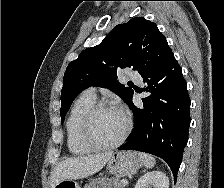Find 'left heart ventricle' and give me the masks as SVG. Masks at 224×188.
<instances>
[{"label": "left heart ventricle", "mask_w": 224, "mask_h": 188, "mask_svg": "<svg viewBox=\"0 0 224 188\" xmlns=\"http://www.w3.org/2000/svg\"><path fill=\"white\" fill-rule=\"evenodd\" d=\"M124 127L125 116L120 111L107 110L97 115L92 132L97 141L111 143L121 135Z\"/></svg>", "instance_id": "left-heart-ventricle-1"}]
</instances>
